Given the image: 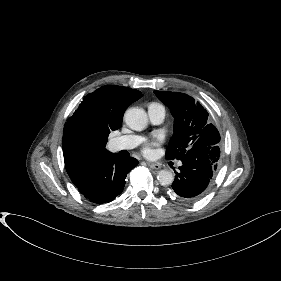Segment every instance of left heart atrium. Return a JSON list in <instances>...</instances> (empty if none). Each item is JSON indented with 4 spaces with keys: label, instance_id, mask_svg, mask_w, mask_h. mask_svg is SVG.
<instances>
[{
    "label": "left heart atrium",
    "instance_id": "left-heart-atrium-1",
    "mask_svg": "<svg viewBox=\"0 0 281 281\" xmlns=\"http://www.w3.org/2000/svg\"><path fill=\"white\" fill-rule=\"evenodd\" d=\"M144 152H145L146 154H150V153H151V149H150L149 147H147V148H145Z\"/></svg>",
    "mask_w": 281,
    "mask_h": 281
}]
</instances>
